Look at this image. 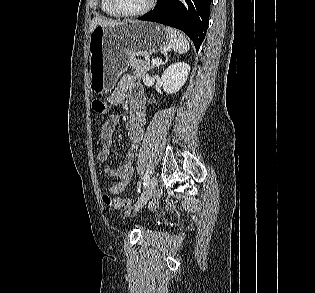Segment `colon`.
<instances>
[{"label":"colon","instance_id":"obj_1","mask_svg":"<svg viewBox=\"0 0 315 293\" xmlns=\"http://www.w3.org/2000/svg\"><path fill=\"white\" fill-rule=\"evenodd\" d=\"M92 109L96 114L103 115L107 112V104L102 99L92 101ZM102 201L105 205L116 210H127L131 207L133 201L129 198H113L107 194L102 196Z\"/></svg>","mask_w":315,"mask_h":293}]
</instances>
